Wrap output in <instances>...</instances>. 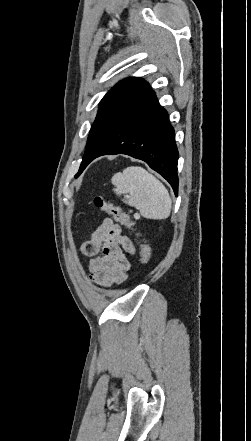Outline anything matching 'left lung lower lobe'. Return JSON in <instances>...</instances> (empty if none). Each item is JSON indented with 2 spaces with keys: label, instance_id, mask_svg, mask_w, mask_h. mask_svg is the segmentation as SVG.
<instances>
[{
  "label": "left lung lower lobe",
  "instance_id": "left-lung-lower-lobe-1",
  "mask_svg": "<svg viewBox=\"0 0 251 441\" xmlns=\"http://www.w3.org/2000/svg\"><path fill=\"white\" fill-rule=\"evenodd\" d=\"M126 154L145 161L178 193V150L167 111L153 91L141 97L125 115L103 116L90 130L82 171L102 155Z\"/></svg>",
  "mask_w": 251,
  "mask_h": 441
}]
</instances>
